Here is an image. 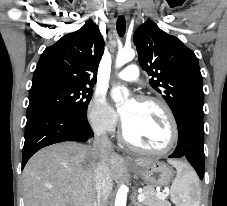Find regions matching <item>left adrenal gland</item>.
I'll list each match as a JSON object with an SVG mask.
<instances>
[{
    "label": "left adrenal gland",
    "instance_id": "a2214340",
    "mask_svg": "<svg viewBox=\"0 0 227 206\" xmlns=\"http://www.w3.org/2000/svg\"><path fill=\"white\" fill-rule=\"evenodd\" d=\"M136 194L137 193H134V196L132 198V203H133L134 206H142L141 203H139V202L136 201Z\"/></svg>",
    "mask_w": 227,
    "mask_h": 206
}]
</instances>
